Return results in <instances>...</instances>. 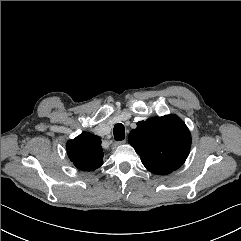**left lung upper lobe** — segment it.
<instances>
[{
    "instance_id": "1",
    "label": "left lung upper lobe",
    "mask_w": 241,
    "mask_h": 241,
    "mask_svg": "<svg viewBox=\"0 0 241 241\" xmlns=\"http://www.w3.org/2000/svg\"><path fill=\"white\" fill-rule=\"evenodd\" d=\"M128 139L146 169L160 175H167L181 167L191 147L190 132L175 115L138 122Z\"/></svg>"
}]
</instances>
